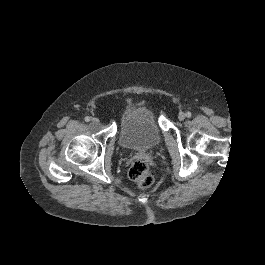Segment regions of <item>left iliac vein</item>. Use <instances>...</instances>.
Returning <instances> with one entry per match:
<instances>
[{"mask_svg":"<svg viewBox=\"0 0 265 265\" xmlns=\"http://www.w3.org/2000/svg\"><path fill=\"white\" fill-rule=\"evenodd\" d=\"M185 117H186V115L183 112L179 113V115H178L179 120H184Z\"/></svg>","mask_w":265,"mask_h":265,"instance_id":"4c4485c4","label":"left iliac vein"}]
</instances>
